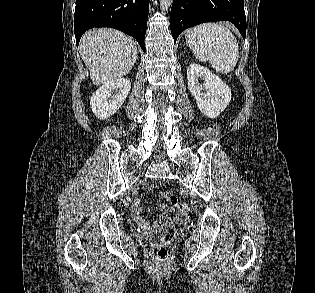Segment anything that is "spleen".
Masks as SVG:
<instances>
[{
	"mask_svg": "<svg viewBox=\"0 0 315 293\" xmlns=\"http://www.w3.org/2000/svg\"><path fill=\"white\" fill-rule=\"evenodd\" d=\"M186 43L201 62L209 61L219 73L231 72L237 64L239 47L236 37L219 23H203L185 33Z\"/></svg>",
	"mask_w": 315,
	"mask_h": 293,
	"instance_id": "obj_1",
	"label": "spleen"
}]
</instances>
